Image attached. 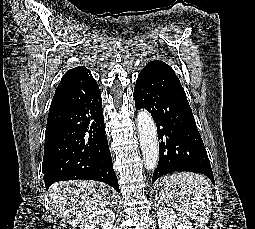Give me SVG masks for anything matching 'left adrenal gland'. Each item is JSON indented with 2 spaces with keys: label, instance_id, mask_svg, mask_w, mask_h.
<instances>
[{
  "label": "left adrenal gland",
  "instance_id": "left-adrenal-gland-1",
  "mask_svg": "<svg viewBox=\"0 0 255 229\" xmlns=\"http://www.w3.org/2000/svg\"><path fill=\"white\" fill-rule=\"evenodd\" d=\"M157 199H158V198H156V200H157ZM160 202H161V201H160V200H158V203H157V205H159V204H160Z\"/></svg>",
  "mask_w": 255,
  "mask_h": 229
}]
</instances>
